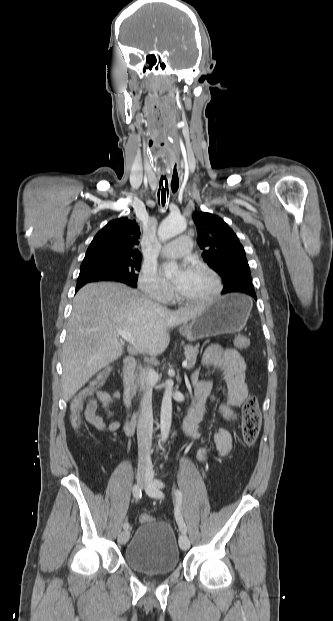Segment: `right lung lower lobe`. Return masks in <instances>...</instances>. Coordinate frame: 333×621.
Listing matches in <instances>:
<instances>
[{
	"label": "right lung lower lobe",
	"mask_w": 333,
	"mask_h": 621,
	"mask_svg": "<svg viewBox=\"0 0 333 621\" xmlns=\"http://www.w3.org/2000/svg\"><path fill=\"white\" fill-rule=\"evenodd\" d=\"M91 281H82V282H77V286H76V292L86 283H89Z\"/></svg>",
	"instance_id": "1"
}]
</instances>
